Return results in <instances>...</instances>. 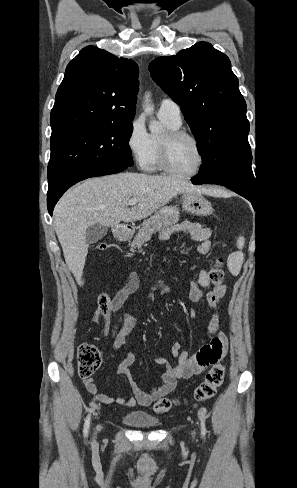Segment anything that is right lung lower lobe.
Wrapping results in <instances>:
<instances>
[{"instance_id":"1","label":"right lung lower lobe","mask_w":297,"mask_h":488,"mask_svg":"<svg viewBox=\"0 0 297 488\" xmlns=\"http://www.w3.org/2000/svg\"><path fill=\"white\" fill-rule=\"evenodd\" d=\"M128 167H123V166H117V167H105V168H98V169H93L90 171H87L77 177H74L70 181L66 182L60 189H58L55 193L48 195L47 198V207H48V212L52 216V212L54 209L55 204L59 200V198L63 195V193L72 185L76 184L79 181H82L84 179L90 178V177H97V176H103V175H108V174H114L121 172Z\"/></svg>"}]
</instances>
